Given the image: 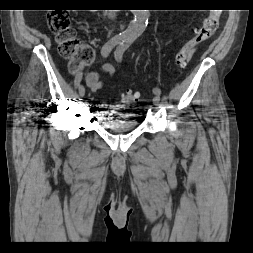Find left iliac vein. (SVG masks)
<instances>
[{"label":"left iliac vein","instance_id":"4c4485c4","mask_svg":"<svg viewBox=\"0 0 253 253\" xmlns=\"http://www.w3.org/2000/svg\"><path fill=\"white\" fill-rule=\"evenodd\" d=\"M153 104H154L155 107H158L160 105V97H159V95H155L153 97Z\"/></svg>","mask_w":253,"mask_h":253}]
</instances>
